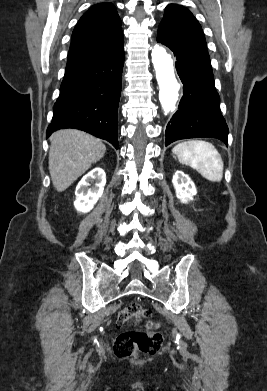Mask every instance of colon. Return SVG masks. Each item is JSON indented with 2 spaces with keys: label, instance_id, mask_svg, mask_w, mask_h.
<instances>
[{
  "label": "colon",
  "instance_id": "5ec220e1",
  "mask_svg": "<svg viewBox=\"0 0 267 391\" xmlns=\"http://www.w3.org/2000/svg\"><path fill=\"white\" fill-rule=\"evenodd\" d=\"M151 316V311L137 303L123 307L118 313L120 324L131 323L141 325ZM163 343L162 334L157 330V324L149 321L144 330H127L121 332L115 339L113 350L121 358H139L155 354Z\"/></svg>",
  "mask_w": 267,
  "mask_h": 391
}]
</instances>
